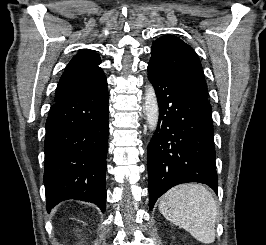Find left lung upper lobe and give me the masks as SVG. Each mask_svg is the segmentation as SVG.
I'll return each mask as SVG.
<instances>
[{"label":"left lung upper lobe","mask_w":266,"mask_h":245,"mask_svg":"<svg viewBox=\"0 0 266 245\" xmlns=\"http://www.w3.org/2000/svg\"><path fill=\"white\" fill-rule=\"evenodd\" d=\"M150 62H156L207 97L201 62L194 50L172 35L158 38L151 48Z\"/></svg>","instance_id":"left-lung-upper-lobe-1"}]
</instances>
